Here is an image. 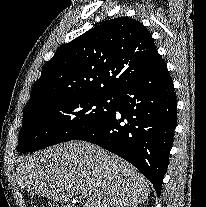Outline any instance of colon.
Returning a JSON list of instances; mask_svg holds the SVG:
<instances>
[{"label":"colon","mask_w":206,"mask_h":207,"mask_svg":"<svg viewBox=\"0 0 206 207\" xmlns=\"http://www.w3.org/2000/svg\"><path fill=\"white\" fill-rule=\"evenodd\" d=\"M51 207H75V206L68 205V204H57V205H53Z\"/></svg>","instance_id":"5ec220e1"}]
</instances>
